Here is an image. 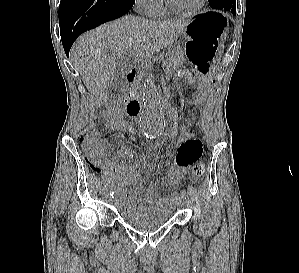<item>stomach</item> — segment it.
Segmentation results:
<instances>
[{"mask_svg":"<svg viewBox=\"0 0 299 273\" xmlns=\"http://www.w3.org/2000/svg\"><path fill=\"white\" fill-rule=\"evenodd\" d=\"M228 29L227 17L219 11H206L191 19L182 33L188 69H179L175 79L185 93L183 101L200 102L209 88L211 74H220L216 55Z\"/></svg>","mask_w":299,"mask_h":273,"instance_id":"1","label":"stomach"}]
</instances>
